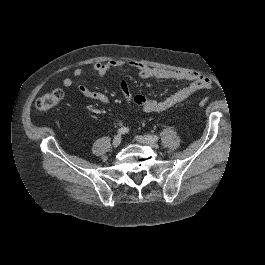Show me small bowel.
<instances>
[{
  "mask_svg": "<svg viewBox=\"0 0 265 265\" xmlns=\"http://www.w3.org/2000/svg\"><path fill=\"white\" fill-rule=\"evenodd\" d=\"M120 67L135 68L138 72V75L144 79L147 78L172 79V80H183L189 82L185 87L181 88L172 95L162 100H156L141 94H132L128 83L126 81H123L121 83V90L127 104L130 107L141 108L146 113L164 112L176 106L177 104L185 101L193 94L197 93L198 91L209 88L211 85V81L207 77L195 72L161 69V68L148 66L138 61L112 60L105 63L97 62L93 65V70L98 75L103 76L110 69L120 68ZM82 74H83L82 68H77L73 72L74 77H80ZM62 83L63 86L70 87L73 84V80L70 77H66L63 79ZM78 90L86 98L95 100L105 105H108L110 103V100L106 94L99 91H93L88 87H86L84 84H79Z\"/></svg>",
  "mask_w": 265,
  "mask_h": 265,
  "instance_id": "c3829d8e",
  "label": "small bowel"
}]
</instances>
